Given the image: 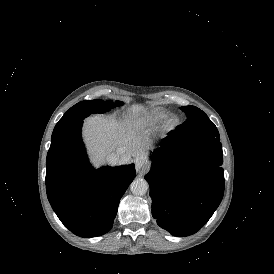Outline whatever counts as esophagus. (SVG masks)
Returning <instances> with one entry per match:
<instances>
[{
	"label": "esophagus",
	"instance_id": "34e87169",
	"mask_svg": "<svg viewBox=\"0 0 274 274\" xmlns=\"http://www.w3.org/2000/svg\"><path fill=\"white\" fill-rule=\"evenodd\" d=\"M135 168L139 175H143V173L149 170V164L142 160H136Z\"/></svg>",
	"mask_w": 274,
	"mask_h": 274
}]
</instances>
